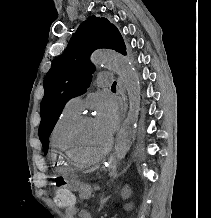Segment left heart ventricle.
<instances>
[{
	"mask_svg": "<svg viewBox=\"0 0 211 218\" xmlns=\"http://www.w3.org/2000/svg\"><path fill=\"white\" fill-rule=\"evenodd\" d=\"M111 141V136L103 132L94 119L86 122L76 139L77 151L80 154H96L105 149Z\"/></svg>",
	"mask_w": 211,
	"mask_h": 218,
	"instance_id": "1",
	"label": "left heart ventricle"
}]
</instances>
